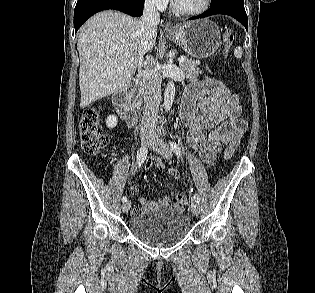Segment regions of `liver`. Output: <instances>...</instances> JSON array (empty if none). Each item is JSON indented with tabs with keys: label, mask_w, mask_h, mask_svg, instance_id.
Listing matches in <instances>:
<instances>
[{
	"label": "liver",
	"mask_w": 315,
	"mask_h": 293,
	"mask_svg": "<svg viewBox=\"0 0 315 293\" xmlns=\"http://www.w3.org/2000/svg\"><path fill=\"white\" fill-rule=\"evenodd\" d=\"M140 22L117 11H104L81 28L77 41L81 108L128 86L136 69L144 65ZM156 37L157 30L153 46Z\"/></svg>",
	"instance_id": "6515ba94"
}]
</instances>
